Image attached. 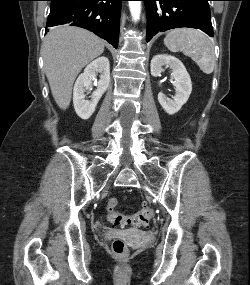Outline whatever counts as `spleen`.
I'll use <instances>...</instances> for the list:
<instances>
[{
	"mask_svg": "<svg viewBox=\"0 0 250 285\" xmlns=\"http://www.w3.org/2000/svg\"><path fill=\"white\" fill-rule=\"evenodd\" d=\"M165 46L172 52L182 51L199 66L205 74H211L215 67L214 44L202 31L190 28L171 30L164 38Z\"/></svg>",
	"mask_w": 250,
	"mask_h": 285,
	"instance_id": "3e777b00",
	"label": "spleen"
}]
</instances>
